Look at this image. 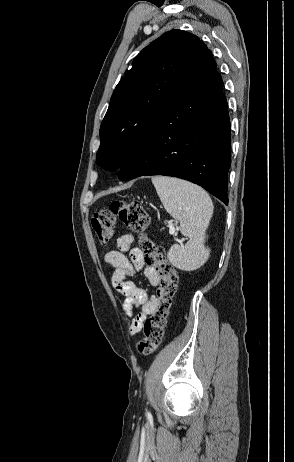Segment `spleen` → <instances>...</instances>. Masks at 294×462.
<instances>
[{"mask_svg":"<svg viewBox=\"0 0 294 462\" xmlns=\"http://www.w3.org/2000/svg\"><path fill=\"white\" fill-rule=\"evenodd\" d=\"M152 183L166 211L179 220L181 233L189 238L185 246H171L169 261L186 271L199 268L210 253L204 246L214 210L210 196L201 187L173 177L155 176Z\"/></svg>","mask_w":294,"mask_h":462,"instance_id":"1","label":"spleen"}]
</instances>
